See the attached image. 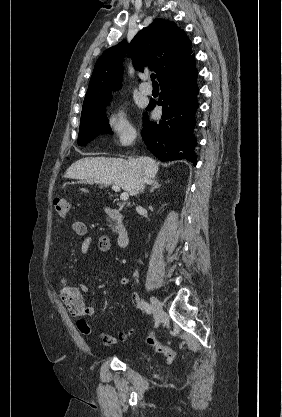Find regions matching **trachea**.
Returning a JSON list of instances; mask_svg holds the SVG:
<instances>
[{
    "label": "trachea",
    "instance_id": "trachea-1",
    "mask_svg": "<svg viewBox=\"0 0 282 417\" xmlns=\"http://www.w3.org/2000/svg\"><path fill=\"white\" fill-rule=\"evenodd\" d=\"M151 80H152V85H153V87H158V83L156 82V80H155V78H156V75L155 74H151Z\"/></svg>",
    "mask_w": 282,
    "mask_h": 417
}]
</instances>
